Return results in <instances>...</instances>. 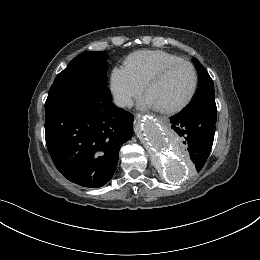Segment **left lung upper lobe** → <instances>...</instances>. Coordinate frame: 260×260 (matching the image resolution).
<instances>
[{"mask_svg": "<svg viewBox=\"0 0 260 260\" xmlns=\"http://www.w3.org/2000/svg\"><path fill=\"white\" fill-rule=\"evenodd\" d=\"M194 61L199 76V86L193 101L185 110H192L202 106L216 108L213 81L204 66L196 58Z\"/></svg>", "mask_w": 260, "mask_h": 260, "instance_id": "obj_1", "label": "left lung upper lobe"}]
</instances>
